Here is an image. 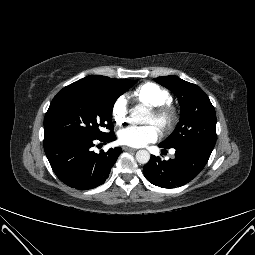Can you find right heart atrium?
Instances as JSON below:
<instances>
[{
	"label": "right heart atrium",
	"instance_id": "1",
	"mask_svg": "<svg viewBox=\"0 0 255 255\" xmlns=\"http://www.w3.org/2000/svg\"><path fill=\"white\" fill-rule=\"evenodd\" d=\"M128 107L124 97L117 98L111 108V115L115 123L121 125L127 119Z\"/></svg>",
	"mask_w": 255,
	"mask_h": 255
}]
</instances>
